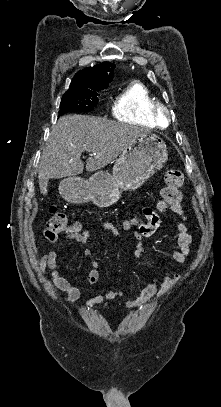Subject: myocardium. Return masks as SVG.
Wrapping results in <instances>:
<instances>
[{
	"label": "myocardium",
	"mask_w": 221,
	"mask_h": 407,
	"mask_svg": "<svg viewBox=\"0 0 221 407\" xmlns=\"http://www.w3.org/2000/svg\"><path fill=\"white\" fill-rule=\"evenodd\" d=\"M153 118L155 123L164 129L171 123V112L167 106L157 103L153 109Z\"/></svg>",
	"instance_id": "f54148a6"
}]
</instances>
